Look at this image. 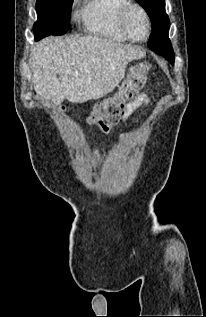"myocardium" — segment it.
I'll list each match as a JSON object with an SVG mask.
<instances>
[{
  "label": "myocardium",
  "instance_id": "obj_1",
  "mask_svg": "<svg viewBox=\"0 0 206 317\" xmlns=\"http://www.w3.org/2000/svg\"><path fill=\"white\" fill-rule=\"evenodd\" d=\"M133 9H138L139 11H141V13L143 14L145 20H146V24H147V34L144 38L142 39H136L134 38L130 32L127 29L126 23H127V18L130 14V12ZM118 28L121 31V33L129 40L134 41V42H144L146 41L151 34V30H152V24H151V19L149 16L148 11L145 9L144 6H142L139 3L136 2H130L129 4H127L126 6H124L122 8V10L120 11V14L118 16Z\"/></svg>",
  "mask_w": 206,
  "mask_h": 317
}]
</instances>
